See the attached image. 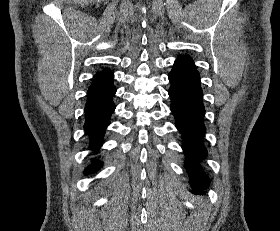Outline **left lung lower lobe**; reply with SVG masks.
<instances>
[{"mask_svg": "<svg viewBox=\"0 0 280 231\" xmlns=\"http://www.w3.org/2000/svg\"><path fill=\"white\" fill-rule=\"evenodd\" d=\"M171 88V111L175 117L177 129L183 138V149L187 157L185 166L191 175L194 193H204L208 177L199 167V162L207 156L202 144L206 131L204 126L203 92L200 87V75L197 70H185L174 67L169 74Z\"/></svg>", "mask_w": 280, "mask_h": 231, "instance_id": "1", "label": "left lung lower lobe"}]
</instances>
